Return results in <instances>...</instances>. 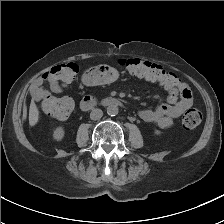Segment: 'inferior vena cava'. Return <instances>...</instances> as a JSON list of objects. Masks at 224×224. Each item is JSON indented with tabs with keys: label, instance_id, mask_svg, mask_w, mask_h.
Returning <instances> with one entry per match:
<instances>
[{
	"label": "inferior vena cava",
	"instance_id": "1",
	"mask_svg": "<svg viewBox=\"0 0 224 224\" xmlns=\"http://www.w3.org/2000/svg\"><path fill=\"white\" fill-rule=\"evenodd\" d=\"M103 116V111L101 109H93L90 113V118L92 120H98Z\"/></svg>",
	"mask_w": 224,
	"mask_h": 224
}]
</instances>
